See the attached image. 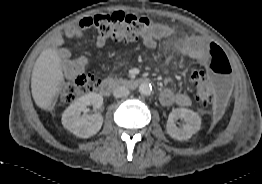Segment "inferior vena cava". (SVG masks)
<instances>
[{
  "mask_svg": "<svg viewBox=\"0 0 262 184\" xmlns=\"http://www.w3.org/2000/svg\"><path fill=\"white\" fill-rule=\"evenodd\" d=\"M127 95H129V90L125 86H119L113 91V96L115 98H121Z\"/></svg>",
  "mask_w": 262,
  "mask_h": 184,
  "instance_id": "602c4592",
  "label": "inferior vena cava"
}]
</instances>
